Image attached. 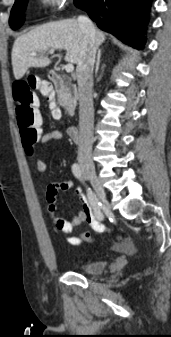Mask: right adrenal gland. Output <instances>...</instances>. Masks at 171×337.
Returning <instances> with one entry per match:
<instances>
[{"label": "right adrenal gland", "instance_id": "2a0ac1e0", "mask_svg": "<svg viewBox=\"0 0 171 337\" xmlns=\"http://www.w3.org/2000/svg\"><path fill=\"white\" fill-rule=\"evenodd\" d=\"M101 50H98L95 73L97 74L100 66Z\"/></svg>", "mask_w": 171, "mask_h": 337}]
</instances>
